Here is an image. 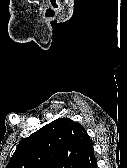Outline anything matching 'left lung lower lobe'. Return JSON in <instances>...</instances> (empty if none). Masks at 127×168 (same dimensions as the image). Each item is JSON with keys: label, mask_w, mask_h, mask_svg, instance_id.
Here are the masks:
<instances>
[{"label": "left lung lower lobe", "mask_w": 127, "mask_h": 168, "mask_svg": "<svg viewBox=\"0 0 127 168\" xmlns=\"http://www.w3.org/2000/svg\"><path fill=\"white\" fill-rule=\"evenodd\" d=\"M76 168H97L93 144L89 138L84 144Z\"/></svg>", "instance_id": "1"}]
</instances>
